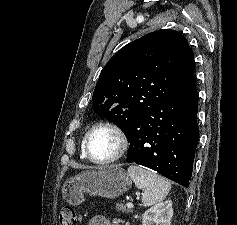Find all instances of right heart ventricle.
I'll list each match as a JSON object with an SVG mask.
<instances>
[{
  "label": "right heart ventricle",
  "mask_w": 237,
  "mask_h": 225,
  "mask_svg": "<svg viewBox=\"0 0 237 225\" xmlns=\"http://www.w3.org/2000/svg\"><path fill=\"white\" fill-rule=\"evenodd\" d=\"M82 156L84 157V154H83V144H82Z\"/></svg>",
  "instance_id": "e07e8e85"
}]
</instances>
